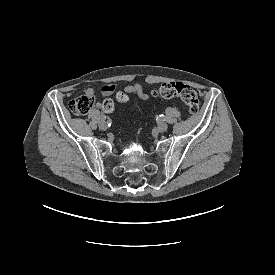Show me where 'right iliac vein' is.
<instances>
[{
  "mask_svg": "<svg viewBox=\"0 0 275 275\" xmlns=\"http://www.w3.org/2000/svg\"><path fill=\"white\" fill-rule=\"evenodd\" d=\"M99 128L103 131L107 129V124L104 120L99 122Z\"/></svg>",
  "mask_w": 275,
  "mask_h": 275,
  "instance_id": "1",
  "label": "right iliac vein"
}]
</instances>
